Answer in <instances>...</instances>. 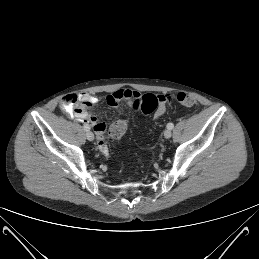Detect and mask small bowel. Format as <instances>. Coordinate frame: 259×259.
Returning <instances> with one entry per match:
<instances>
[{
    "label": "small bowel",
    "mask_w": 259,
    "mask_h": 259,
    "mask_svg": "<svg viewBox=\"0 0 259 259\" xmlns=\"http://www.w3.org/2000/svg\"><path fill=\"white\" fill-rule=\"evenodd\" d=\"M139 92L131 89H118L106 97L108 105L116 107L121 101H126L129 105H133L134 100L139 96ZM159 104L155 112V117L158 118L164 114L169 95H159ZM97 97L89 93H81L77 95H67L61 101L62 108L70 113L74 118L89 123L96 133L97 143L102 153H108V147L105 144V132L107 126L103 122H99L95 116L90 115L87 109L97 103Z\"/></svg>",
    "instance_id": "obj_1"
}]
</instances>
